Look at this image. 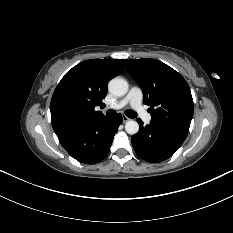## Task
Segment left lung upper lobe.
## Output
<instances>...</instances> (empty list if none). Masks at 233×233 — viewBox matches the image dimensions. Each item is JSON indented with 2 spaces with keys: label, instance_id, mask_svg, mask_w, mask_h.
Wrapping results in <instances>:
<instances>
[{
  "label": "left lung upper lobe",
  "instance_id": "obj_1",
  "mask_svg": "<svg viewBox=\"0 0 233 233\" xmlns=\"http://www.w3.org/2000/svg\"><path fill=\"white\" fill-rule=\"evenodd\" d=\"M122 63L141 87L152 120L189 131L193 99L185 79L155 59H124Z\"/></svg>",
  "mask_w": 233,
  "mask_h": 233
}]
</instances>
